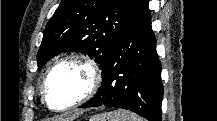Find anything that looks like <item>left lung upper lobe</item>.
Masks as SVG:
<instances>
[{
	"mask_svg": "<svg viewBox=\"0 0 217 121\" xmlns=\"http://www.w3.org/2000/svg\"><path fill=\"white\" fill-rule=\"evenodd\" d=\"M142 0H61L46 25L38 67L62 52H81L104 67Z\"/></svg>",
	"mask_w": 217,
	"mask_h": 121,
	"instance_id": "left-lung-upper-lobe-1",
	"label": "left lung upper lobe"
}]
</instances>
